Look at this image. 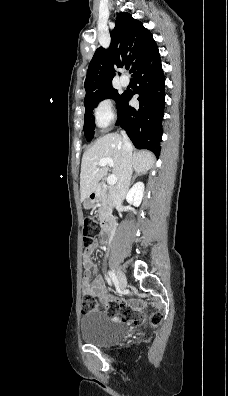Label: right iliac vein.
<instances>
[{"label": "right iliac vein", "instance_id": "1", "mask_svg": "<svg viewBox=\"0 0 228 396\" xmlns=\"http://www.w3.org/2000/svg\"><path fill=\"white\" fill-rule=\"evenodd\" d=\"M117 277H118V280H119L120 285H121L122 287H125V286H126V283H127V279H126L125 274H124L122 271L118 270V271H117Z\"/></svg>", "mask_w": 228, "mask_h": 396}]
</instances>
